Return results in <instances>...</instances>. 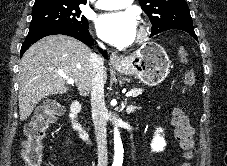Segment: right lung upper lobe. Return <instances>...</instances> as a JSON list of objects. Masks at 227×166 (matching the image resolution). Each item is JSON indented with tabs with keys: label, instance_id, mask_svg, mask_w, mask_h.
<instances>
[{
	"label": "right lung upper lobe",
	"instance_id": "right-lung-upper-lobe-1",
	"mask_svg": "<svg viewBox=\"0 0 227 166\" xmlns=\"http://www.w3.org/2000/svg\"><path fill=\"white\" fill-rule=\"evenodd\" d=\"M42 3H71V4H86V0H35L34 5Z\"/></svg>",
	"mask_w": 227,
	"mask_h": 166
}]
</instances>
